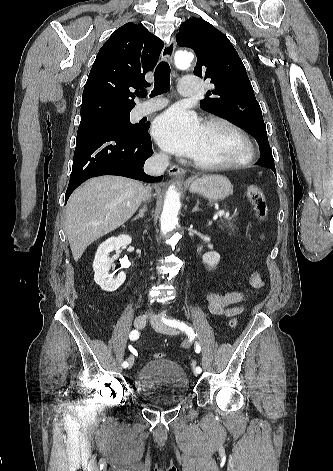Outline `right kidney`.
<instances>
[{
    "label": "right kidney",
    "mask_w": 333,
    "mask_h": 471,
    "mask_svg": "<svg viewBox=\"0 0 333 471\" xmlns=\"http://www.w3.org/2000/svg\"><path fill=\"white\" fill-rule=\"evenodd\" d=\"M132 239L128 235L111 237L104 241L97 249L93 262L94 280L104 291L113 292L117 290L125 281L126 274L121 272L116 278L109 275L111 261L109 253L113 250H119L121 247L129 245Z\"/></svg>",
    "instance_id": "obj_1"
}]
</instances>
